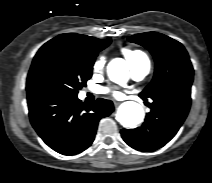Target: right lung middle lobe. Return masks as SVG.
<instances>
[{"label": "right lung middle lobe", "instance_id": "1", "mask_svg": "<svg viewBox=\"0 0 212 183\" xmlns=\"http://www.w3.org/2000/svg\"><path fill=\"white\" fill-rule=\"evenodd\" d=\"M102 49L85 52L61 43L44 44L33 59L26 83L27 95L77 96L91 78L95 58Z\"/></svg>", "mask_w": 212, "mask_h": 183}]
</instances>
